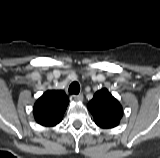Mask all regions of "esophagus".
I'll return each mask as SVG.
<instances>
[{"label":"esophagus","instance_id":"34e87169","mask_svg":"<svg viewBox=\"0 0 160 158\" xmlns=\"http://www.w3.org/2000/svg\"><path fill=\"white\" fill-rule=\"evenodd\" d=\"M73 98L76 100V101H81L83 99V94H77V95H73Z\"/></svg>","mask_w":160,"mask_h":158}]
</instances>
